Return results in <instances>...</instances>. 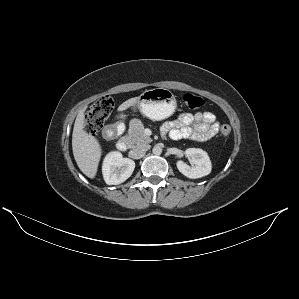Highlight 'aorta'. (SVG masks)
I'll return each instance as SVG.
<instances>
[{
  "instance_id": "obj_1",
  "label": "aorta",
  "mask_w": 299,
  "mask_h": 299,
  "mask_svg": "<svg viewBox=\"0 0 299 299\" xmlns=\"http://www.w3.org/2000/svg\"><path fill=\"white\" fill-rule=\"evenodd\" d=\"M153 154L160 155L162 153V148L158 145L154 146L152 149Z\"/></svg>"
}]
</instances>
